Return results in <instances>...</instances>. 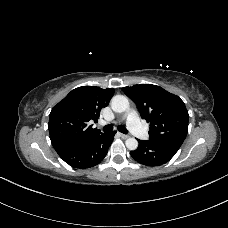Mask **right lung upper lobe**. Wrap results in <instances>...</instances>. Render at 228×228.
<instances>
[{"instance_id":"1","label":"right lung upper lobe","mask_w":228,"mask_h":228,"mask_svg":"<svg viewBox=\"0 0 228 228\" xmlns=\"http://www.w3.org/2000/svg\"><path fill=\"white\" fill-rule=\"evenodd\" d=\"M113 94V88L82 86L72 90L55 105L48 123L53 147L89 140L102 134L100 130L93 129L88 122L97 120Z\"/></svg>"}]
</instances>
